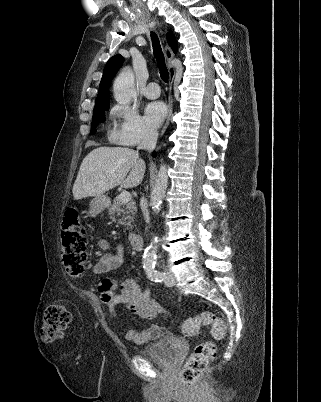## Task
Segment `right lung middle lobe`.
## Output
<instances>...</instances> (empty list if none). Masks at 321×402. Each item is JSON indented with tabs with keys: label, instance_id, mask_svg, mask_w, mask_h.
<instances>
[{
	"label": "right lung middle lobe",
	"instance_id": "dd1d6c3e",
	"mask_svg": "<svg viewBox=\"0 0 321 402\" xmlns=\"http://www.w3.org/2000/svg\"><path fill=\"white\" fill-rule=\"evenodd\" d=\"M109 109V105H105L99 108H94L92 126H91V134L96 132V127L99 123L105 121V110Z\"/></svg>",
	"mask_w": 321,
	"mask_h": 402
}]
</instances>
